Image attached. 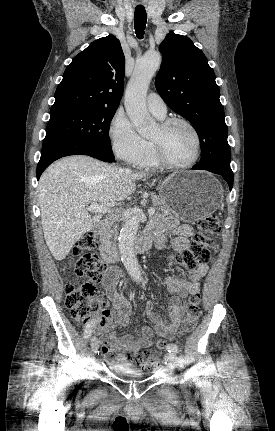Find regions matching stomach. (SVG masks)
<instances>
[{
	"label": "stomach",
	"mask_w": 275,
	"mask_h": 431,
	"mask_svg": "<svg viewBox=\"0 0 275 431\" xmlns=\"http://www.w3.org/2000/svg\"><path fill=\"white\" fill-rule=\"evenodd\" d=\"M161 199L185 222H196L216 211L223 199L220 183L205 171H179L159 185Z\"/></svg>",
	"instance_id": "1"
}]
</instances>
